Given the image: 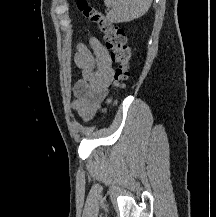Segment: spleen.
Here are the masks:
<instances>
[{
    "instance_id": "3e777b00",
    "label": "spleen",
    "mask_w": 216,
    "mask_h": 217,
    "mask_svg": "<svg viewBox=\"0 0 216 217\" xmlns=\"http://www.w3.org/2000/svg\"><path fill=\"white\" fill-rule=\"evenodd\" d=\"M152 0H104L111 10L107 20L111 23L129 22L143 16L151 6Z\"/></svg>"
}]
</instances>
